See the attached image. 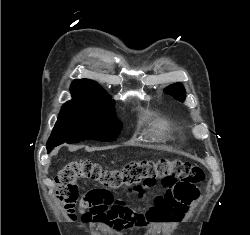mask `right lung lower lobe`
I'll use <instances>...</instances> for the list:
<instances>
[{"mask_svg": "<svg viewBox=\"0 0 250 235\" xmlns=\"http://www.w3.org/2000/svg\"><path fill=\"white\" fill-rule=\"evenodd\" d=\"M57 145H47V150L50 152Z\"/></svg>", "mask_w": 250, "mask_h": 235, "instance_id": "right-lung-lower-lobe-1", "label": "right lung lower lobe"}]
</instances>
